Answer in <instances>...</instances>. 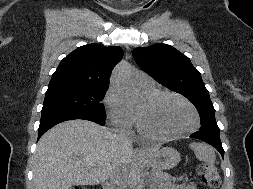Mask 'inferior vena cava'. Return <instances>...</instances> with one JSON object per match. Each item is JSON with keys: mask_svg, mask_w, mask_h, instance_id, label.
<instances>
[{"mask_svg": "<svg viewBox=\"0 0 253 189\" xmlns=\"http://www.w3.org/2000/svg\"><path fill=\"white\" fill-rule=\"evenodd\" d=\"M117 140L126 148H131V142L122 135H116ZM128 169L125 167L114 168L108 177L107 189H126Z\"/></svg>", "mask_w": 253, "mask_h": 189, "instance_id": "602c4592", "label": "inferior vena cava"}]
</instances>
